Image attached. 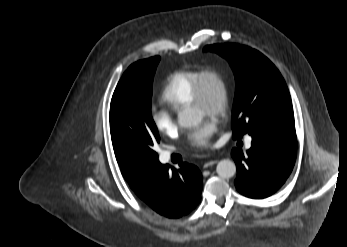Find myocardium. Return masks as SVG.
Wrapping results in <instances>:
<instances>
[{
  "mask_svg": "<svg viewBox=\"0 0 347 247\" xmlns=\"http://www.w3.org/2000/svg\"><path fill=\"white\" fill-rule=\"evenodd\" d=\"M212 80L218 87V99L211 104L208 97V82ZM231 94L230 86L226 77L214 68H207L200 71L195 87L193 89L191 106L201 108L206 115L224 116L230 106Z\"/></svg>",
  "mask_w": 347,
  "mask_h": 247,
  "instance_id": "myocardium-1",
  "label": "myocardium"
}]
</instances>
